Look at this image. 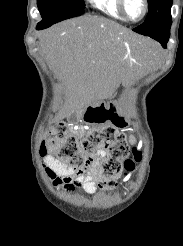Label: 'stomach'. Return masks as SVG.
<instances>
[{"label": "stomach", "mask_w": 183, "mask_h": 246, "mask_svg": "<svg viewBox=\"0 0 183 246\" xmlns=\"http://www.w3.org/2000/svg\"><path fill=\"white\" fill-rule=\"evenodd\" d=\"M104 119L103 123H108L116 128H123L128 125V120L122 112L117 101H111L100 110Z\"/></svg>", "instance_id": "stomach-1"}]
</instances>
